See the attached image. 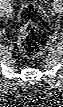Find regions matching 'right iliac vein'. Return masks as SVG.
I'll list each match as a JSON object with an SVG mask.
<instances>
[{
	"instance_id": "63e3f726",
	"label": "right iliac vein",
	"mask_w": 63,
	"mask_h": 107,
	"mask_svg": "<svg viewBox=\"0 0 63 107\" xmlns=\"http://www.w3.org/2000/svg\"><path fill=\"white\" fill-rule=\"evenodd\" d=\"M0 14L1 15H7V17H9L10 14H11V12H7L6 7L5 6H1V8H0Z\"/></svg>"
}]
</instances>
